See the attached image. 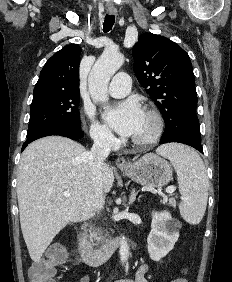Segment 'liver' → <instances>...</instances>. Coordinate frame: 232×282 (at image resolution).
Wrapping results in <instances>:
<instances>
[{
	"mask_svg": "<svg viewBox=\"0 0 232 282\" xmlns=\"http://www.w3.org/2000/svg\"><path fill=\"white\" fill-rule=\"evenodd\" d=\"M88 153L69 138L49 136L29 144L21 155L17 178L20 224L34 262L40 261L69 222L86 220L97 212ZM113 183V170L104 164L103 193H108ZM64 191L70 196L65 197Z\"/></svg>",
	"mask_w": 232,
	"mask_h": 282,
	"instance_id": "1",
	"label": "liver"
}]
</instances>
